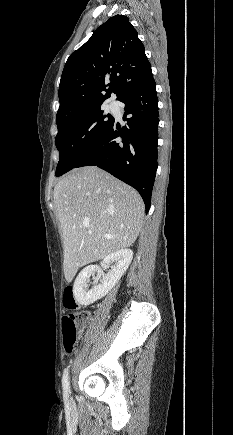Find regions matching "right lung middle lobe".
<instances>
[{
  "label": "right lung middle lobe",
  "mask_w": 233,
  "mask_h": 435,
  "mask_svg": "<svg viewBox=\"0 0 233 435\" xmlns=\"http://www.w3.org/2000/svg\"><path fill=\"white\" fill-rule=\"evenodd\" d=\"M113 121L110 114L103 115L100 107L57 120L58 134L55 144L60 158L56 176L75 168L106 135Z\"/></svg>",
  "instance_id": "right-lung-middle-lobe-1"
}]
</instances>
